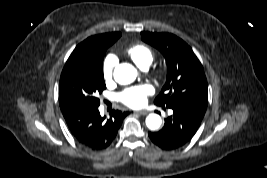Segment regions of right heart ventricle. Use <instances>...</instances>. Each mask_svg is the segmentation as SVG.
I'll return each mask as SVG.
<instances>
[{"mask_svg":"<svg viewBox=\"0 0 267 178\" xmlns=\"http://www.w3.org/2000/svg\"><path fill=\"white\" fill-rule=\"evenodd\" d=\"M127 55L140 68L148 67L153 60V52L143 44H136L130 47Z\"/></svg>","mask_w":267,"mask_h":178,"instance_id":"obj_1","label":"right heart ventricle"}]
</instances>
